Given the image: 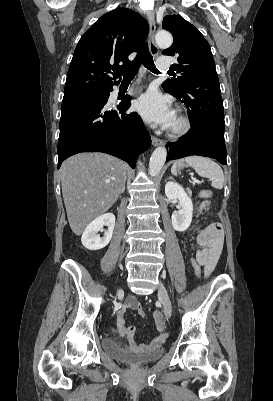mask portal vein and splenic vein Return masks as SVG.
<instances>
[{"label": "portal vein and splenic vein", "instance_id": "18ae733b", "mask_svg": "<svg viewBox=\"0 0 273 401\" xmlns=\"http://www.w3.org/2000/svg\"><path fill=\"white\" fill-rule=\"evenodd\" d=\"M190 174H193V172H190ZM193 182H199V180H197V178H193Z\"/></svg>", "mask_w": 273, "mask_h": 401}]
</instances>
